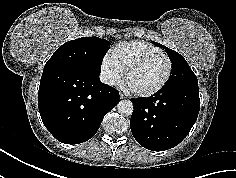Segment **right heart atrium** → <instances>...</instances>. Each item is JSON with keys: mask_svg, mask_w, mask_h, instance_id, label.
<instances>
[{"mask_svg": "<svg viewBox=\"0 0 236 178\" xmlns=\"http://www.w3.org/2000/svg\"><path fill=\"white\" fill-rule=\"evenodd\" d=\"M100 73L102 80L108 85L116 86L121 82L122 70L110 54L103 56L100 65Z\"/></svg>", "mask_w": 236, "mask_h": 178, "instance_id": "obj_1", "label": "right heart atrium"}]
</instances>
